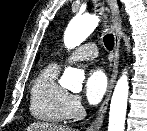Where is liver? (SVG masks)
I'll use <instances>...</instances> for the list:
<instances>
[{
    "label": "liver",
    "instance_id": "1",
    "mask_svg": "<svg viewBox=\"0 0 147 131\" xmlns=\"http://www.w3.org/2000/svg\"><path fill=\"white\" fill-rule=\"evenodd\" d=\"M26 131H75L67 126L51 124L47 122H34L29 125Z\"/></svg>",
    "mask_w": 147,
    "mask_h": 131
}]
</instances>
